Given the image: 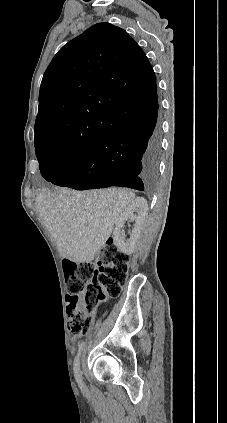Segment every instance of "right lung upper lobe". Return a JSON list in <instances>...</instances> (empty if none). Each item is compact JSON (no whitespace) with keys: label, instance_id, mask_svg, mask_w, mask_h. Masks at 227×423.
Segmentation results:
<instances>
[{"label":"right lung upper lobe","instance_id":"cb5924a9","mask_svg":"<svg viewBox=\"0 0 227 423\" xmlns=\"http://www.w3.org/2000/svg\"><path fill=\"white\" fill-rule=\"evenodd\" d=\"M155 90L153 68L134 39L110 23L95 24L63 46L48 66L35 141L90 148L105 133L127 127L107 114L110 107L147 100Z\"/></svg>","mask_w":227,"mask_h":423}]
</instances>
